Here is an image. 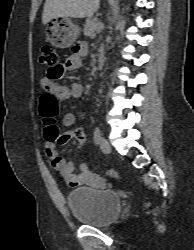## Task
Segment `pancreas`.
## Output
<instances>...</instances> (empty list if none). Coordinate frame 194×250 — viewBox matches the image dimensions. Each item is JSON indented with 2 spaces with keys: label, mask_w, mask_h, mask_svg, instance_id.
<instances>
[{
  "label": "pancreas",
  "mask_w": 194,
  "mask_h": 250,
  "mask_svg": "<svg viewBox=\"0 0 194 250\" xmlns=\"http://www.w3.org/2000/svg\"><path fill=\"white\" fill-rule=\"evenodd\" d=\"M102 28L100 27V23L98 19L95 17H89L86 19V23L84 24V35L86 36H95V34L100 31Z\"/></svg>",
  "instance_id": "cf45deb5"
}]
</instances>
